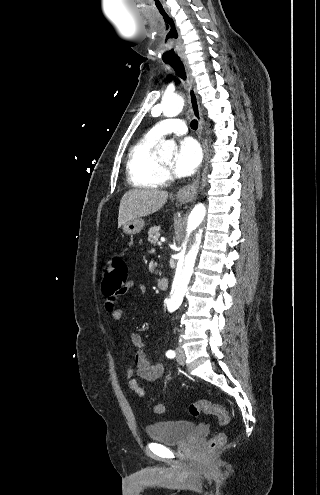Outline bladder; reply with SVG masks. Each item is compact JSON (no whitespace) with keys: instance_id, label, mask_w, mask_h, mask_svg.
<instances>
[{"instance_id":"obj_1","label":"bladder","mask_w":320,"mask_h":495,"mask_svg":"<svg viewBox=\"0 0 320 495\" xmlns=\"http://www.w3.org/2000/svg\"><path fill=\"white\" fill-rule=\"evenodd\" d=\"M196 424L188 421H159L147 426L149 437L165 444L185 442L196 432Z\"/></svg>"}]
</instances>
